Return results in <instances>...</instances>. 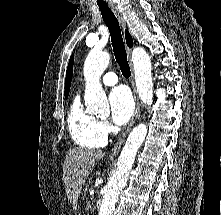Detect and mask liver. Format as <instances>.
Here are the masks:
<instances>
[{
  "instance_id": "6515ba94",
  "label": "liver",
  "mask_w": 221,
  "mask_h": 215,
  "mask_svg": "<svg viewBox=\"0 0 221 215\" xmlns=\"http://www.w3.org/2000/svg\"><path fill=\"white\" fill-rule=\"evenodd\" d=\"M104 157L101 150L72 148L68 150L63 165V181L67 198L74 210L87 177L98 160Z\"/></svg>"
}]
</instances>
